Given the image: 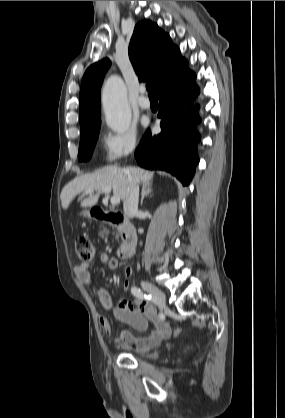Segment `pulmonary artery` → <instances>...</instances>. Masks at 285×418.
Returning <instances> with one entry per match:
<instances>
[{"mask_svg":"<svg viewBox=\"0 0 285 418\" xmlns=\"http://www.w3.org/2000/svg\"><path fill=\"white\" fill-rule=\"evenodd\" d=\"M141 96L139 97L137 103L142 110H148L151 107L149 99L146 97V90L142 88L140 90Z\"/></svg>","mask_w":285,"mask_h":418,"instance_id":"1","label":"pulmonary artery"}]
</instances>
